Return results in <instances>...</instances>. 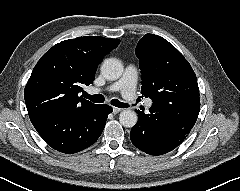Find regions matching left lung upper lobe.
Masks as SVG:
<instances>
[{"instance_id":"1","label":"left lung upper lobe","mask_w":240,"mask_h":191,"mask_svg":"<svg viewBox=\"0 0 240 191\" xmlns=\"http://www.w3.org/2000/svg\"><path fill=\"white\" fill-rule=\"evenodd\" d=\"M136 55L142 73L141 93L153 100L149 109L155 118L169 120L199 114L200 97L196 75L184 56L167 40L144 35Z\"/></svg>"}]
</instances>
